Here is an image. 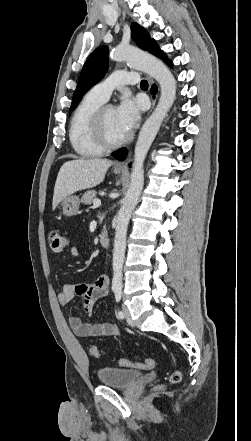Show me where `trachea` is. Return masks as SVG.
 I'll return each mask as SVG.
<instances>
[{
  "mask_svg": "<svg viewBox=\"0 0 251 441\" xmlns=\"http://www.w3.org/2000/svg\"><path fill=\"white\" fill-rule=\"evenodd\" d=\"M141 87H148V82L146 80H142L140 83Z\"/></svg>",
  "mask_w": 251,
  "mask_h": 441,
  "instance_id": "1",
  "label": "trachea"
}]
</instances>
